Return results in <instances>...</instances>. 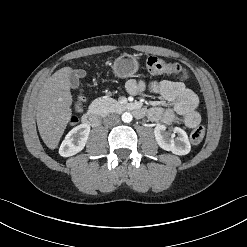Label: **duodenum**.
<instances>
[{
    "label": "duodenum",
    "mask_w": 247,
    "mask_h": 247,
    "mask_svg": "<svg viewBox=\"0 0 247 247\" xmlns=\"http://www.w3.org/2000/svg\"><path fill=\"white\" fill-rule=\"evenodd\" d=\"M128 109L138 118L145 115V110L139 105L131 104L128 106ZM82 121L84 124L97 127L100 124V116L95 110L91 109L83 115Z\"/></svg>",
    "instance_id": "duodenum-1"
}]
</instances>
